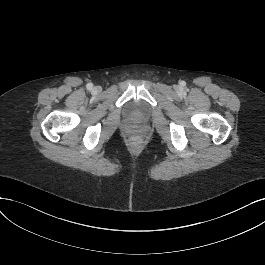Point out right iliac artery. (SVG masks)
<instances>
[{
    "label": "right iliac artery",
    "mask_w": 265,
    "mask_h": 265,
    "mask_svg": "<svg viewBox=\"0 0 265 265\" xmlns=\"http://www.w3.org/2000/svg\"><path fill=\"white\" fill-rule=\"evenodd\" d=\"M86 87H87L88 90H92V88H93V84H92V83H88V84L86 85Z\"/></svg>",
    "instance_id": "1"
}]
</instances>
